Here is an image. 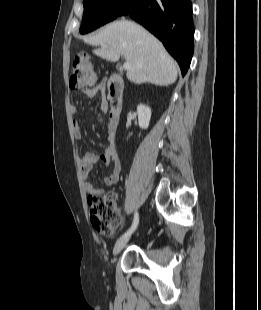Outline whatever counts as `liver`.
I'll return each instance as SVG.
<instances>
[{
  "mask_svg": "<svg viewBox=\"0 0 261 310\" xmlns=\"http://www.w3.org/2000/svg\"><path fill=\"white\" fill-rule=\"evenodd\" d=\"M84 40L99 47L93 53L102 59L116 62L124 57L131 65L126 73L131 82L168 86L177 79V64L161 42L133 21H114Z\"/></svg>",
  "mask_w": 261,
  "mask_h": 310,
  "instance_id": "6515ba94",
  "label": "liver"
}]
</instances>
